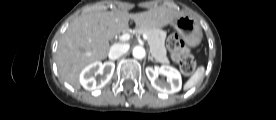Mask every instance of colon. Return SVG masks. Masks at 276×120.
<instances>
[{"mask_svg":"<svg viewBox=\"0 0 276 120\" xmlns=\"http://www.w3.org/2000/svg\"><path fill=\"white\" fill-rule=\"evenodd\" d=\"M167 47L170 50L172 57L178 62L182 73L185 75L193 74L196 62L176 33L169 36L167 40Z\"/></svg>","mask_w":276,"mask_h":120,"instance_id":"obj_1","label":"colon"}]
</instances>
